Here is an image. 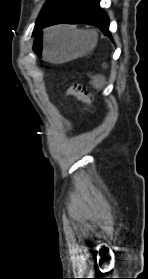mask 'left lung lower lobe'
<instances>
[{
    "mask_svg": "<svg viewBox=\"0 0 148 279\" xmlns=\"http://www.w3.org/2000/svg\"><path fill=\"white\" fill-rule=\"evenodd\" d=\"M100 0H65L47 18L41 21L34 33L44 27L60 23H86L98 27L104 35L112 39L109 31V18L100 6Z\"/></svg>",
    "mask_w": 148,
    "mask_h": 279,
    "instance_id": "obj_1",
    "label": "left lung lower lobe"
}]
</instances>
